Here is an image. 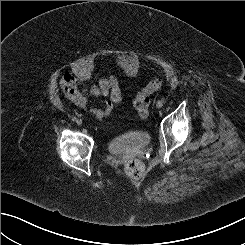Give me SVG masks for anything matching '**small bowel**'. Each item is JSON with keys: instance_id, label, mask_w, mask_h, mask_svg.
Returning a JSON list of instances; mask_svg holds the SVG:
<instances>
[{"instance_id": "obj_1", "label": "small bowel", "mask_w": 245, "mask_h": 245, "mask_svg": "<svg viewBox=\"0 0 245 245\" xmlns=\"http://www.w3.org/2000/svg\"><path fill=\"white\" fill-rule=\"evenodd\" d=\"M81 78L67 73L60 80L62 92L72 103L85 111H90L95 120L100 122L111 115L121 104L123 99L122 89L114 74L101 79L97 85L90 89L80 87ZM104 97L106 101L99 105H93L92 100Z\"/></svg>"}]
</instances>
